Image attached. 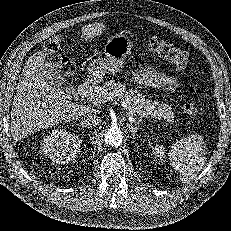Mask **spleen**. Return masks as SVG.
Returning a JSON list of instances; mask_svg holds the SVG:
<instances>
[{"label": "spleen", "mask_w": 231, "mask_h": 231, "mask_svg": "<svg viewBox=\"0 0 231 231\" xmlns=\"http://www.w3.org/2000/svg\"><path fill=\"white\" fill-rule=\"evenodd\" d=\"M205 147L203 137L195 134L177 141L169 150V162L177 170L183 183L191 182L201 170L205 160ZM154 154L160 160L166 157L163 146L155 148Z\"/></svg>", "instance_id": "1"}]
</instances>
